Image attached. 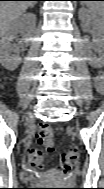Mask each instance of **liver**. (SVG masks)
I'll use <instances>...</instances> for the list:
<instances>
[{
  "label": "liver",
  "mask_w": 104,
  "mask_h": 189,
  "mask_svg": "<svg viewBox=\"0 0 104 189\" xmlns=\"http://www.w3.org/2000/svg\"><path fill=\"white\" fill-rule=\"evenodd\" d=\"M33 1H1L0 2V34L4 35L13 23L22 15Z\"/></svg>",
  "instance_id": "liver-1"
}]
</instances>
